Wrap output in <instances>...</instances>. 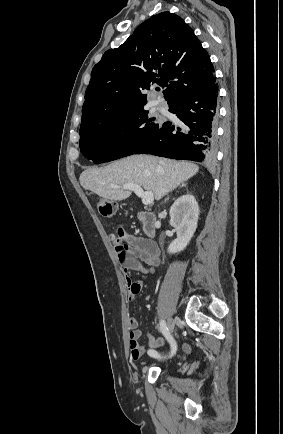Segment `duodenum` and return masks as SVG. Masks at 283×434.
Wrapping results in <instances>:
<instances>
[{"label": "duodenum", "instance_id": "duodenum-1", "mask_svg": "<svg viewBox=\"0 0 283 434\" xmlns=\"http://www.w3.org/2000/svg\"><path fill=\"white\" fill-rule=\"evenodd\" d=\"M137 216L142 224L144 234L150 242L154 243L152 239L155 237L157 229V221L155 215L151 212L139 211Z\"/></svg>", "mask_w": 283, "mask_h": 434}]
</instances>
